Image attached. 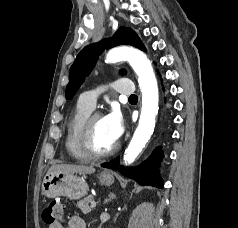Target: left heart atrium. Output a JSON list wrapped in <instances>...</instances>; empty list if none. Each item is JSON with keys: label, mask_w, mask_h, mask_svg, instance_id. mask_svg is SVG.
<instances>
[{"label": "left heart atrium", "mask_w": 238, "mask_h": 228, "mask_svg": "<svg viewBox=\"0 0 238 228\" xmlns=\"http://www.w3.org/2000/svg\"><path fill=\"white\" fill-rule=\"evenodd\" d=\"M111 137L117 141L124 132V120L118 110H112L104 117Z\"/></svg>", "instance_id": "39dd6f15"}]
</instances>
